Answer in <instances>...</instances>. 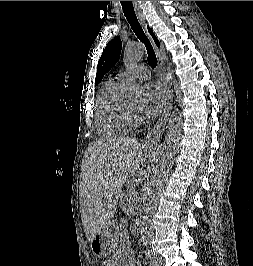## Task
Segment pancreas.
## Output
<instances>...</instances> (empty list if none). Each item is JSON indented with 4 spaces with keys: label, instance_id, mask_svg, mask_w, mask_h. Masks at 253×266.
Listing matches in <instances>:
<instances>
[{
    "label": "pancreas",
    "instance_id": "pancreas-1",
    "mask_svg": "<svg viewBox=\"0 0 253 266\" xmlns=\"http://www.w3.org/2000/svg\"><path fill=\"white\" fill-rule=\"evenodd\" d=\"M138 202V196L135 191L131 189L130 186H127L126 191L122 194L121 203H127L129 207H134Z\"/></svg>",
    "mask_w": 253,
    "mask_h": 266
}]
</instances>
